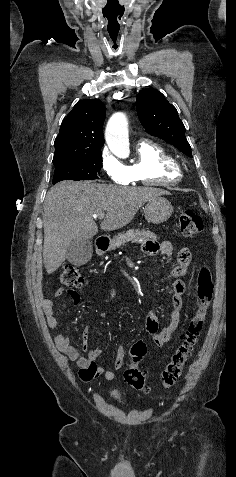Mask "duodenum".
<instances>
[{"label":"duodenum","instance_id":"duodenum-1","mask_svg":"<svg viewBox=\"0 0 236 477\" xmlns=\"http://www.w3.org/2000/svg\"><path fill=\"white\" fill-rule=\"evenodd\" d=\"M109 244H110L109 239H99L95 243V247L98 251H103L109 246Z\"/></svg>","mask_w":236,"mask_h":477}]
</instances>
